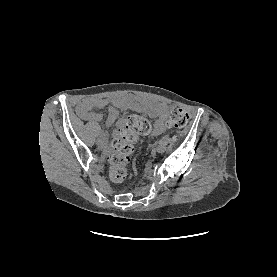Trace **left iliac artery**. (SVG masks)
Instances as JSON below:
<instances>
[{
	"label": "left iliac artery",
	"instance_id": "44dca946",
	"mask_svg": "<svg viewBox=\"0 0 277 277\" xmlns=\"http://www.w3.org/2000/svg\"><path fill=\"white\" fill-rule=\"evenodd\" d=\"M170 142V139L167 137H163L162 139H160L159 143L160 144H165L167 145Z\"/></svg>",
	"mask_w": 277,
	"mask_h": 277
}]
</instances>
